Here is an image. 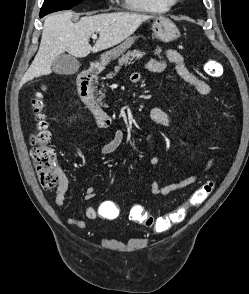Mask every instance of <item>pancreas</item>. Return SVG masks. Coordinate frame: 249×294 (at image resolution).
Instances as JSON below:
<instances>
[{
  "label": "pancreas",
  "mask_w": 249,
  "mask_h": 294,
  "mask_svg": "<svg viewBox=\"0 0 249 294\" xmlns=\"http://www.w3.org/2000/svg\"><path fill=\"white\" fill-rule=\"evenodd\" d=\"M143 57V53H141L139 50H133V51H128L126 54L122 55V57L118 60V66L115 67V72L107 74V79H112L116 73L120 70L121 66L124 64H128L131 61L141 59ZM101 97H105L104 94L100 93ZM107 107V105H105Z\"/></svg>",
  "instance_id": "1"
}]
</instances>
